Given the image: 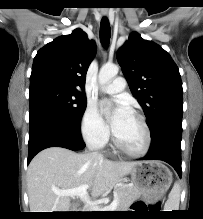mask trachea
I'll use <instances>...</instances> for the list:
<instances>
[{"mask_svg": "<svg viewBox=\"0 0 203 219\" xmlns=\"http://www.w3.org/2000/svg\"><path fill=\"white\" fill-rule=\"evenodd\" d=\"M111 29L109 21L103 17L100 24V39L104 47H107L110 42Z\"/></svg>", "mask_w": 203, "mask_h": 219, "instance_id": "3493384b", "label": "trachea"}]
</instances>
